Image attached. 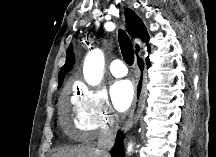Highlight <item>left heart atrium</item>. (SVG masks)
<instances>
[{
  "label": "left heart atrium",
  "instance_id": "obj_1",
  "mask_svg": "<svg viewBox=\"0 0 216 157\" xmlns=\"http://www.w3.org/2000/svg\"><path fill=\"white\" fill-rule=\"evenodd\" d=\"M111 99L118 111H126L134 100L133 84L128 80L116 82L111 88Z\"/></svg>",
  "mask_w": 216,
  "mask_h": 157
}]
</instances>
